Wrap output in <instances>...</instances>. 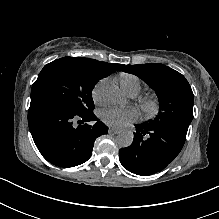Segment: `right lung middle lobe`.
<instances>
[{
    "label": "right lung middle lobe",
    "mask_w": 219,
    "mask_h": 219,
    "mask_svg": "<svg viewBox=\"0 0 219 219\" xmlns=\"http://www.w3.org/2000/svg\"><path fill=\"white\" fill-rule=\"evenodd\" d=\"M117 69L111 65L64 57L44 66L32 86L31 101L56 102L76 114L93 113L92 90L103 77Z\"/></svg>",
    "instance_id": "obj_1"
}]
</instances>
